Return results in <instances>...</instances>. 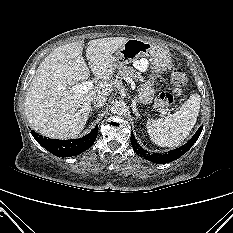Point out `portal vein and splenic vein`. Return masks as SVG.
Returning <instances> with one entry per match:
<instances>
[{
    "mask_svg": "<svg viewBox=\"0 0 233 233\" xmlns=\"http://www.w3.org/2000/svg\"><path fill=\"white\" fill-rule=\"evenodd\" d=\"M124 79L128 82L131 80L129 77H125ZM93 86V81H85L82 84L72 86L71 89L75 93H85L86 91L91 90Z\"/></svg>",
    "mask_w": 233,
    "mask_h": 233,
    "instance_id": "18ae733b",
    "label": "portal vein and splenic vein"
}]
</instances>
